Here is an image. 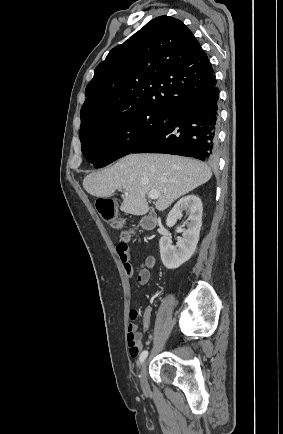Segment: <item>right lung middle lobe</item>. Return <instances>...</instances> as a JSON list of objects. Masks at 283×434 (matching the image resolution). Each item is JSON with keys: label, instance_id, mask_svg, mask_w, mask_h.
I'll return each mask as SVG.
<instances>
[{"label": "right lung middle lobe", "instance_id": "1", "mask_svg": "<svg viewBox=\"0 0 283 434\" xmlns=\"http://www.w3.org/2000/svg\"><path fill=\"white\" fill-rule=\"evenodd\" d=\"M167 119V112L137 109L81 130L82 153L96 168L131 153Z\"/></svg>", "mask_w": 283, "mask_h": 434}]
</instances>
